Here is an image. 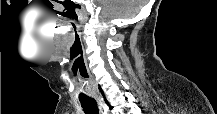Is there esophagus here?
Listing matches in <instances>:
<instances>
[{"label": "esophagus", "instance_id": "obj_1", "mask_svg": "<svg viewBox=\"0 0 217 114\" xmlns=\"http://www.w3.org/2000/svg\"><path fill=\"white\" fill-rule=\"evenodd\" d=\"M97 101H98V104L100 106V112L103 114L105 109H104V104H103V99L99 96H97Z\"/></svg>", "mask_w": 217, "mask_h": 114}]
</instances>
